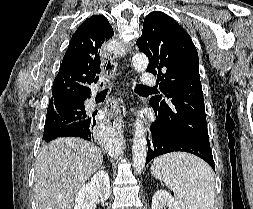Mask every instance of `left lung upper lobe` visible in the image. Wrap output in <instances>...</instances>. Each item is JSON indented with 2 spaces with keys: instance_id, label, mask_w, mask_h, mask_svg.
<instances>
[{
  "instance_id": "left-lung-upper-lobe-1",
  "label": "left lung upper lobe",
  "mask_w": 253,
  "mask_h": 209,
  "mask_svg": "<svg viewBox=\"0 0 253 209\" xmlns=\"http://www.w3.org/2000/svg\"><path fill=\"white\" fill-rule=\"evenodd\" d=\"M136 45L149 58L147 71L157 74L161 96L150 101L156 120L167 130L210 146L199 59L189 34L160 11L149 13Z\"/></svg>"
}]
</instances>
